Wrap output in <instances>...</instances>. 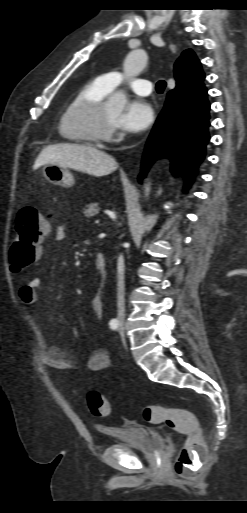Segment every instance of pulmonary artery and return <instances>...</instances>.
<instances>
[{
  "instance_id": "obj_1",
  "label": "pulmonary artery",
  "mask_w": 247,
  "mask_h": 513,
  "mask_svg": "<svg viewBox=\"0 0 247 513\" xmlns=\"http://www.w3.org/2000/svg\"><path fill=\"white\" fill-rule=\"evenodd\" d=\"M97 79L103 86L110 90L124 81L122 73L118 71L103 74ZM129 86L138 95L147 96L152 92V83L148 80L134 79L129 82Z\"/></svg>"
}]
</instances>
